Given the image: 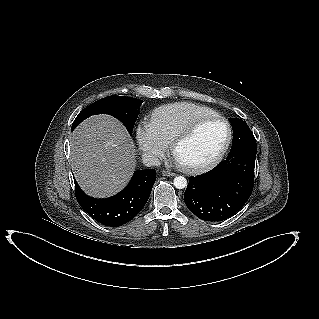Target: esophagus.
<instances>
[{
    "label": "esophagus",
    "instance_id": "obj_1",
    "mask_svg": "<svg viewBox=\"0 0 319 319\" xmlns=\"http://www.w3.org/2000/svg\"><path fill=\"white\" fill-rule=\"evenodd\" d=\"M162 175L167 176V177H173V176H175V173L168 171V170H163Z\"/></svg>",
    "mask_w": 319,
    "mask_h": 319
}]
</instances>
